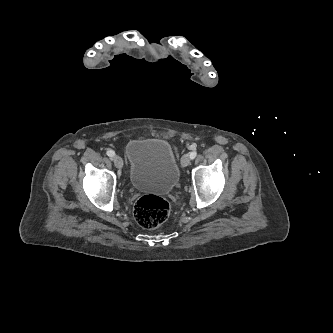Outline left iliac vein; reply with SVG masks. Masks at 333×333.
<instances>
[{
    "mask_svg": "<svg viewBox=\"0 0 333 333\" xmlns=\"http://www.w3.org/2000/svg\"><path fill=\"white\" fill-rule=\"evenodd\" d=\"M191 158L189 154H185L181 158V164L182 166L186 167L190 164Z\"/></svg>",
    "mask_w": 333,
    "mask_h": 333,
    "instance_id": "1",
    "label": "left iliac vein"
}]
</instances>
